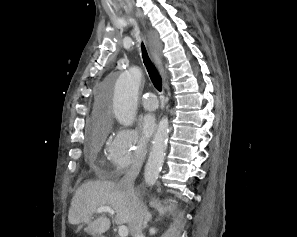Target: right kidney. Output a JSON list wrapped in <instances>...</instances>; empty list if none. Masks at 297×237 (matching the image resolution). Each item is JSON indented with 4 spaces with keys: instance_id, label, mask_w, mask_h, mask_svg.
Segmentation results:
<instances>
[{
    "instance_id": "ca27d5eb",
    "label": "right kidney",
    "mask_w": 297,
    "mask_h": 237,
    "mask_svg": "<svg viewBox=\"0 0 297 237\" xmlns=\"http://www.w3.org/2000/svg\"><path fill=\"white\" fill-rule=\"evenodd\" d=\"M149 233H150V235H154L156 233V229L150 228Z\"/></svg>"
}]
</instances>
